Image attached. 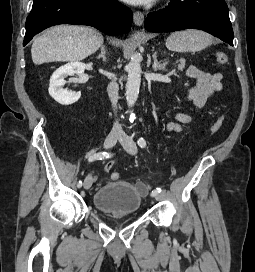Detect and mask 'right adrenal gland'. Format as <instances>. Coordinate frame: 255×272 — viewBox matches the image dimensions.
I'll return each mask as SVG.
<instances>
[{
  "mask_svg": "<svg viewBox=\"0 0 255 272\" xmlns=\"http://www.w3.org/2000/svg\"><path fill=\"white\" fill-rule=\"evenodd\" d=\"M101 53L98 55V59H102L103 62H107V57H106V51H107V48L105 45H101Z\"/></svg>",
  "mask_w": 255,
  "mask_h": 272,
  "instance_id": "1",
  "label": "right adrenal gland"
}]
</instances>
